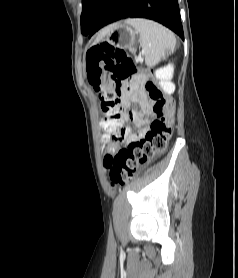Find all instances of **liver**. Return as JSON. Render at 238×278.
Returning a JSON list of instances; mask_svg holds the SVG:
<instances>
[{"label": "liver", "instance_id": "obj_1", "mask_svg": "<svg viewBox=\"0 0 238 278\" xmlns=\"http://www.w3.org/2000/svg\"><path fill=\"white\" fill-rule=\"evenodd\" d=\"M105 30H103L97 37L96 42H99L105 36Z\"/></svg>", "mask_w": 238, "mask_h": 278}]
</instances>
